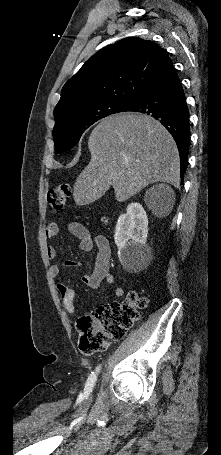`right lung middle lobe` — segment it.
<instances>
[{
	"mask_svg": "<svg viewBox=\"0 0 221 455\" xmlns=\"http://www.w3.org/2000/svg\"><path fill=\"white\" fill-rule=\"evenodd\" d=\"M130 104L120 100L103 101L56 119L53 129L56 153L70 150L88 127L106 116L123 112Z\"/></svg>",
	"mask_w": 221,
	"mask_h": 455,
	"instance_id": "dd1d6c3e",
	"label": "right lung middle lobe"
}]
</instances>
